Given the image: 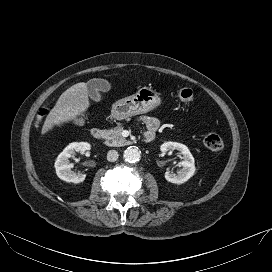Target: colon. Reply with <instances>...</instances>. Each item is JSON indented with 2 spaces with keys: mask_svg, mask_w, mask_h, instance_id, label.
I'll return each mask as SVG.
<instances>
[{
  "mask_svg": "<svg viewBox=\"0 0 272 272\" xmlns=\"http://www.w3.org/2000/svg\"><path fill=\"white\" fill-rule=\"evenodd\" d=\"M177 97L181 102L189 104V103H192L194 100V92L190 88H183L178 91ZM46 114H47L46 109H42L40 111V113L38 115V120H37L38 123H40L42 121V119L45 117ZM71 121L74 124H81L83 121V118H82V116H76V117L72 118ZM204 144L211 151H220L223 147V142H222V139L220 138V136H218L217 134H213V133L205 136Z\"/></svg>",
  "mask_w": 272,
  "mask_h": 272,
  "instance_id": "obj_1",
  "label": "colon"
}]
</instances>
